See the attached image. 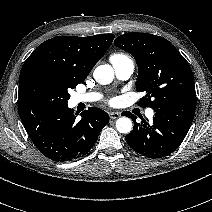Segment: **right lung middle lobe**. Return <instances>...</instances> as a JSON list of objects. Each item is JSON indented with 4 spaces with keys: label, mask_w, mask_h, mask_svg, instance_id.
Wrapping results in <instances>:
<instances>
[{
    "label": "right lung middle lobe",
    "mask_w": 212,
    "mask_h": 212,
    "mask_svg": "<svg viewBox=\"0 0 212 212\" xmlns=\"http://www.w3.org/2000/svg\"><path fill=\"white\" fill-rule=\"evenodd\" d=\"M76 85L77 83L51 73L35 72L27 76L20 85L19 100L65 104L70 98L68 89H73Z\"/></svg>",
    "instance_id": "1"
}]
</instances>
